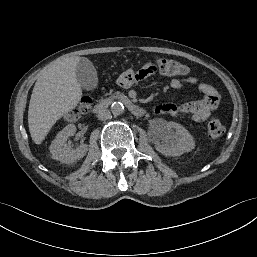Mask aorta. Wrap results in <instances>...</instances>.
Listing matches in <instances>:
<instances>
[{
	"label": "aorta",
	"mask_w": 257,
	"mask_h": 257,
	"mask_svg": "<svg viewBox=\"0 0 257 257\" xmlns=\"http://www.w3.org/2000/svg\"><path fill=\"white\" fill-rule=\"evenodd\" d=\"M111 112L114 116L121 115L124 112V105L121 102H114L111 105Z\"/></svg>",
	"instance_id": "762f6f07"
}]
</instances>
